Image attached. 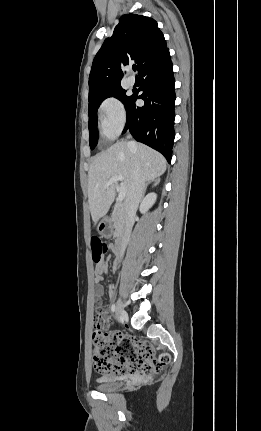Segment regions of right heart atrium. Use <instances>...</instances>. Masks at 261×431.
<instances>
[{"label": "right heart atrium", "mask_w": 261, "mask_h": 431, "mask_svg": "<svg viewBox=\"0 0 261 431\" xmlns=\"http://www.w3.org/2000/svg\"><path fill=\"white\" fill-rule=\"evenodd\" d=\"M98 118L102 133L108 138L116 137L126 122L123 103L113 96L106 98L99 106Z\"/></svg>", "instance_id": "1"}]
</instances>
